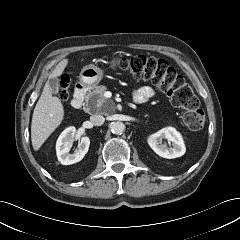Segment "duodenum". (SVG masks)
<instances>
[{
	"mask_svg": "<svg viewBox=\"0 0 240 240\" xmlns=\"http://www.w3.org/2000/svg\"><path fill=\"white\" fill-rule=\"evenodd\" d=\"M86 92H87V88L84 85H78L75 88L74 97L71 101V106L73 109L81 108Z\"/></svg>",
	"mask_w": 240,
	"mask_h": 240,
	"instance_id": "obj_1",
	"label": "duodenum"
}]
</instances>
